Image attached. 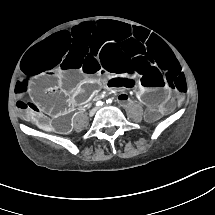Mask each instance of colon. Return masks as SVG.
<instances>
[{"mask_svg": "<svg viewBox=\"0 0 215 215\" xmlns=\"http://www.w3.org/2000/svg\"><path fill=\"white\" fill-rule=\"evenodd\" d=\"M54 97H55L54 92L47 91L43 94L42 99L54 101ZM41 104L43 105L44 108H47V109L51 108V105H49L48 103H41ZM17 107L19 111H21L25 116L29 118L38 117L39 115L40 109H39V106L35 103L20 101Z\"/></svg>", "mask_w": 215, "mask_h": 215, "instance_id": "1", "label": "colon"}]
</instances>
